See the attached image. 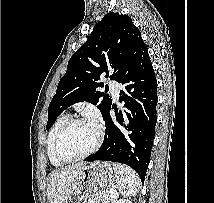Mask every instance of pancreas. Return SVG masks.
<instances>
[{"instance_id":"obj_1","label":"pancreas","mask_w":214,"mask_h":203,"mask_svg":"<svg viewBox=\"0 0 214 203\" xmlns=\"http://www.w3.org/2000/svg\"><path fill=\"white\" fill-rule=\"evenodd\" d=\"M114 197L110 196V192H107L103 198H102V202L101 203H114Z\"/></svg>"}]
</instances>
